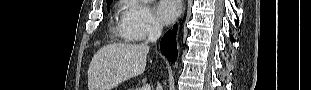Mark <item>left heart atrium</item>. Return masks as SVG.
<instances>
[{"mask_svg": "<svg viewBox=\"0 0 311 90\" xmlns=\"http://www.w3.org/2000/svg\"><path fill=\"white\" fill-rule=\"evenodd\" d=\"M180 3L177 0H162L157 6V15L163 24H170L180 13Z\"/></svg>", "mask_w": 311, "mask_h": 90, "instance_id": "obj_1", "label": "left heart atrium"}]
</instances>
